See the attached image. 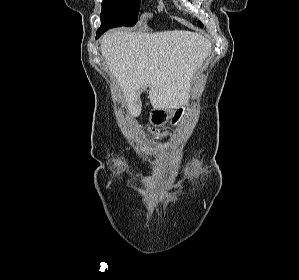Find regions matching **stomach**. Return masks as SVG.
<instances>
[{"instance_id":"1","label":"stomach","mask_w":299,"mask_h":280,"mask_svg":"<svg viewBox=\"0 0 299 280\" xmlns=\"http://www.w3.org/2000/svg\"><path fill=\"white\" fill-rule=\"evenodd\" d=\"M187 111L186 106H181L175 111H167L163 109H154L150 113L149 121L155 127H161L167 123L169 119L173 121L174 124H179Z\"/></svg>"}]
</instances>
